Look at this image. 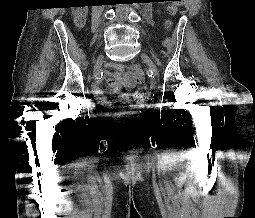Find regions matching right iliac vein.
<instances>
[{"label": "right iliac vein", "mask_w": 255, "mask_h": 218, "mask_svg": "<svg viewBox=\"0 0 255 218\" xmlns=\"http://www.w3.org/2000/svg\"><path fill=\"white\" fill-rule=\"evenodd\" d=\"M102 63H103V56H100L98 58V61H97L96 65H95V68H94V73L95 74L99 73Z\"/></svg>", "instance_id": "1"}]
</instances>
